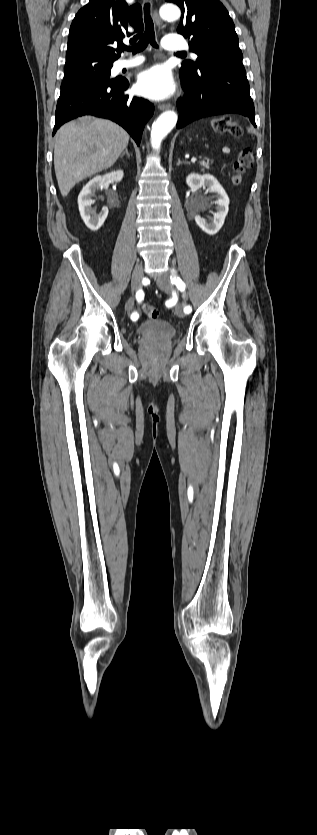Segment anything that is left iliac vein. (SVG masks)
Returning <instances> with one entry per match:
<instances>
[{"mask_svg": "<svg viewBox=\"0 0 317 835\" xmlns=\"http://www.w3.org/2000/svg\"><path fill=\"white\" fill-rule=\"evenodd\" d=\"M156 283H157L158 287L166 293H169L172 290V285H171L170 279L167 275H162L161 277H158L156 279ZM175 313L178 317H181V318L185 316L182 304L178 303L175 306Z\"/></svg>", "mask_w": 317, "mask_h": 835, "instance_id": "obj_1", "label": "left iliac vein"}]
</instances>
